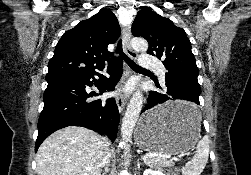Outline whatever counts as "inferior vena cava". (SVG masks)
Masks as SVG:
<instances>
[{"label": "inferior vena cava", "mask_w": 251, "mask_h": 175, "mask_svg": "<svg viewBox=\"0 0 251 175\" xmlns=\"http://www.w3.org/2000/svg\"><path fill=\"white\" fill-rule=\"evenodd\" d=\"M102 143H104V147H105V149H107V145H109V141H108L107 137H103ZM104 153H105V155L102 159V163H103V165H106V163H109L110 153H109V151H104Z\"/></svg>", "instance_id": "obj_1"}]
</instances>
